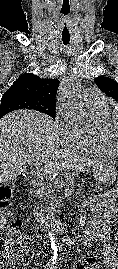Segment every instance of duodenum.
Returning a JSON list of instances; mask_svg holds the SVG:
<instances>
[{"label":"duodenum","mask_w":118,"mask_h":269,"mask_svg":"<svg viewBox=\"0 0 118 269\" xmlns=\"http://www.w3.org/2000/svg\"><path fill=\"white\" fill-rule=\"evenodd\" d=\"M35 218L44 227L49 228L57 233L67 235L71 230V226L69 223H66L64 221H60L56 218L50 217L39 206L35 207Z\"/></svg>","instance_id":"obj_1"}]
</instances>
